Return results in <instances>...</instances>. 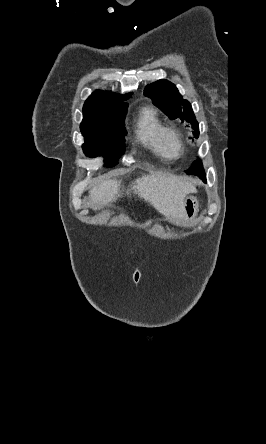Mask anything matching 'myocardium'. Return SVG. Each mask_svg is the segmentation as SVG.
Here are the masks:
<instances>
[{"instance_id": "1", "label": "myocardium", "mask_w": 266, "mask_h": 444, "mask_svg": "<svg viewBox=\"0 0 266 444\" xmlns=\"http://www.w3.org/2000/svg\"><path fill=\"white\" fill-rule=\"evenodd\" d=\"M169 134H174L177 137V139H178V142H179V152L177 154H172L170 152V150L168 149L167 145H166V137ZM160 144H161V147H162V149H163V151H164V153L166 154L167 157H178V156H181L184 153L185 143H184L183 136L180 133V131L177 128L173 127V126H164L161 129V132H160Z\"/></svg>"}]
</instances>
